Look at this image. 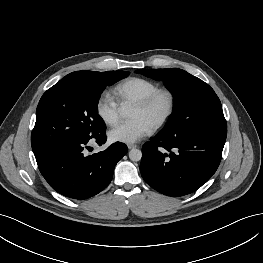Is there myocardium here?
<instances>
[{"instance_id":"1","label":"myocardium","mask_w":263,"mask_h":263,"mask_svg":"<svg viewBox=\"0 0 263 263\" xmlns=\"http://www.w3.org/2000/svg\"><path fill=\"white\" fill-rule=\"evenodd\" d=\"M162 96L168 100V107L166 112L153 124L152 130L156 131L162 128L173 116L176 109V95L168 88H159L144 99L138 101L133 106L142 110L151 108L154 103Z\"/></svg>"}]
</instances>
